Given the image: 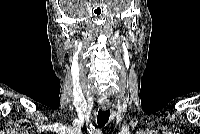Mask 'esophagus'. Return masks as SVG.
<instances>
[{"mask_svg":"<svg viewBox=\"0 0 200 134\" xmlns=\"http://www.w3.org/2000/svg\"><path fill=\"white\" fill-rule=\"evenodd\" d=\"M100 106H101V108H102L103 110H106V109H108V107H109V103L103 102V103L100 104Z\"/></svg>","mask_w":200,"mask_h":134,"instance_id":"1","label":"esophagus"}]
</instances>
